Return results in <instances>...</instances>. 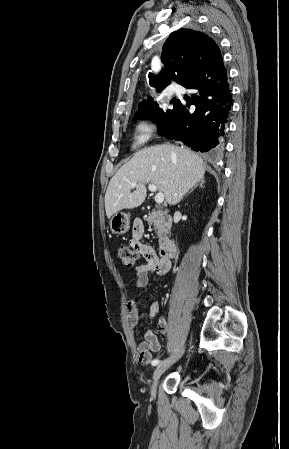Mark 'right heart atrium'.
Returning a JSON list of instances; mask_svg holds the SVG:
<instances>
[{"label": "right heart atrium", "instance_id": "obj_1", "mask_svg": "<svg viewBox=\"0 0 289 449\" xmlns=\"http://www.w3.org/2000/svg\"><path fill=\"white\" fill-rule=\"evenodd\" d=\"M154 121L150 114L144 113L135 124L136 140L139 143L147 141L154 132Z\"/></svg>", "mask_w": 289, "mask_h": 449}]
</instances>
